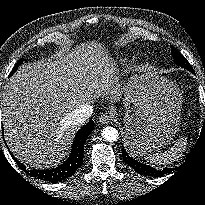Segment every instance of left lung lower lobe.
<instances>
[{"mask_svg":"<svg viewBox=\"0 0 205 205\" xmlns=\"http://www.w3.org/2000/svg\"><path fill=\"white\" fill-rule=\"evenodd\" d=\"M122 155L124 157L125 163L133 167L137 172L145 175H151V176H155L159 174V172L154 170L152 167L141 164L140 162L130 157L125 150H122Z\"/></svg>","mask_w":205,"mask_h":205,"instance_id":"1","label":"left lung lower lobe"}]
</instances>
